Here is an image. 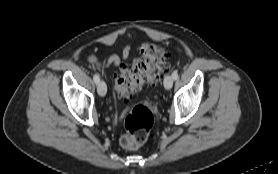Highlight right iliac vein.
<instances>
[{"label": "right iliac vein", "instance_id": "63e3f726", "mask_svg": "<svg viewBox=\"0 0 278 174\" xmlns=\"http://www.w3.org/2000/svg\"><path fill=\"white\" fill-rule=\"evenodd\" d=\"M97 91L100 96H105L107 93V87L104 81H100L97 86Z\"/></svg>", "mask_w": 278, "mask_h": 174}]
</instances>
